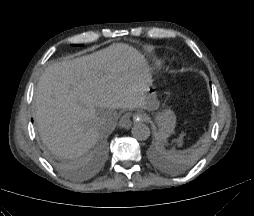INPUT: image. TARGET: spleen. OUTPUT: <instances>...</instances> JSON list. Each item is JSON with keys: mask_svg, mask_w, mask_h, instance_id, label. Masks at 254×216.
Masks as SVG:
<instances>
[{"mask_svg": "<svg viewBox=\"0 0 254 216\" xmlns=\"http://www.w3.org/2000/svg\"><path fill=\"white\" fill-rule=\"evenodd\" d=\"M174 154H175L174 151H170L167 155L169 158H172L174 156Z\"/></svg>", "mask_w": 254, "mask_h": 216, "instance_id": "spleen-1", "label": "spleen"}]
</instances>
